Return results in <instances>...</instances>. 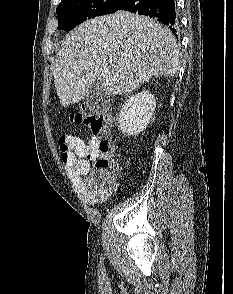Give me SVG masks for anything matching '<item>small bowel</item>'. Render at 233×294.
I'll list each match as a JSON object with an SVG mask.
<instances>
[{"label":"small bowel","instance_id":"small-bowel-1","mask_svg":"<svg viewBox=\"0 0 233 294\" xmlns=\"http://www.w3.org/2000/svg\"><path fill=\"white\" fill-rule=\"evenodd\" d=\"M66 144L69 148L68 155L62 162L73 179H80L82 176L90 174V160L93 158L95 141L93 138L85 143L81 138L64 135ZM81 189L84 199L89 204H97L106 201L115 191L114 183L107 187H96L89 182V178L81 182Z\"/></svg>","mask_w":233,"mask_h":294}]
</instances>
